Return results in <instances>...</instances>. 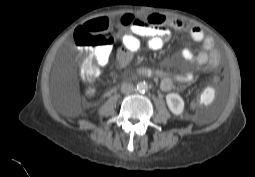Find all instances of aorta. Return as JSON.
<instances>
[{
    "instance_id": "obj_1",
    "label": "aorta",
    "mask_w": 255,
    "mask_h": 177,
    "mask_svg": "<svg viewBox=\"0 0 255 177\" xmlns=\"http://www.w3.org/2000/svg\"><path fill=\"white\" fill-rule=\"evenodd\" d=\"M139 91L145 92L148 89V86L145 82H141L137 85Z\"/></svg>"
}]
</instances>
